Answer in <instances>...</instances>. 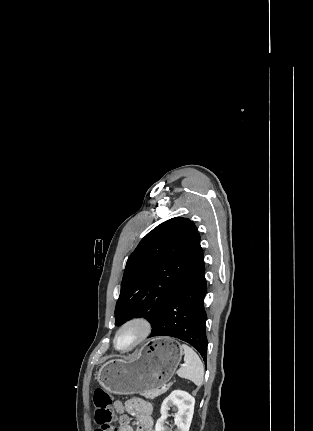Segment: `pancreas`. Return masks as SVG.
Returning a JSON list of instances; mask_svg holds the SVG:
<instances>
[{
    "mask_svg": "<svg viewBox=\"0 0 313 431\" xmlns=\"http://www.w3.org/2000/svg\"><path fill=\"white\" fill-rule=\"evenodd\" d=\"M168 389H169V386L164 387L162 389L147 390V391H143L141 395L148 399H155L161 394H164Z\"/></svg>",
    "mask_w": 313,
    "mask_h": 431,
    "instance_id": "cf45deb5",
    "label": "pancreas"
}]
</instances>
